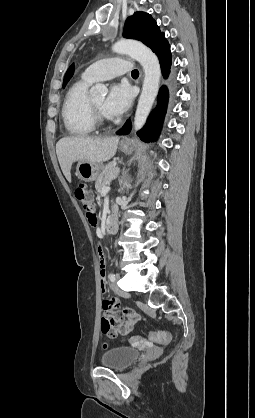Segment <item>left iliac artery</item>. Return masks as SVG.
I'll return each instance as SVG.
<instances>
[{"mask_svg": "<svg viewBox=\"0 0 255 418\" xmlns=\"http://www.w3.org/2000/svg\"><path fill=\"white\" fill-rule=\"evenodd\" d=\"M109 279H110L111 282H114L115 281V274L111 273L110 276H109Z\"/></svg>", "mask_w": 255, "mask_h": 418, "instance_id": "44dca946", "label": "left iliac artery"}]
</instances>
